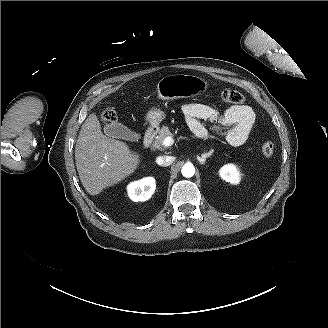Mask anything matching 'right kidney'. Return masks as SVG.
Returning <instances> with one entry per match:
<instances>
[{
	"mask_svg": "<svg viewBox=\"0 0 328 328\" xmlns=\"http://www.w3.org/2000/svg\"><path fill=\"white\" fill-rule=\"evenodd\" d=\"M156 186L153 178H145L141 181L133 183L129 187V197L133 201H146L155 192Z\"/></svg>",
	"mask_w": 328,
	"mask_h": 328,
	"instance_id": "ca27d5eb",
	"label": "right kidney"
}]
</instances>
